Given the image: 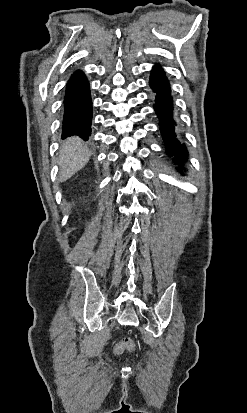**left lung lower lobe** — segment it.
I'll return each instance as SVG.
<instances>
[{"label":"left lung lower lobe","instance_id":"obj_1","mask_svg":"<svg viewBox=\"0 0 247 413\" xmlns=\"http://www.w3.org/2000/svg\"><path fill=\"white\" fill-rule=\"evenodd\" d=\"M150 86L156 93L154 109L160 119V130L165 141L167 154L177 163L187 160V150L185 144H181L174 132L176 123L172 119V97L170 86L165 73L160 66H154L151 71ZM180 171H182L180 169Z\"/></svg>","mask_w":247,"mask_h":413}]
</instances>
